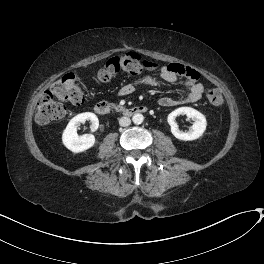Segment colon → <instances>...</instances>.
<instances>
[{
  "label": "colon",
  "mask_w": 264,
  "mask_h": 264,
  "mask_svg": "<svg viewBox=\"0 0 264 264\" xmlns=\"http://www.w3.org/2000/svg\"><path fill=\"white\" fill-rule=\"evenodd\" d=\"M143 68L144 63L141 57L128 53L108 60L98 72L97 78L100 81H108L119 73H138ZM206 98L214 107L218 108L223 104V96L218 88L208 87L206 89ZM60 100L74 105L84 101L82 85L72 73L63 76L55 82L51 91H46L40 95L37 102L36 121L44 125L65 117L67 108Z\"/></svg>",
  "instance_id": "obj_1"
}]
</instances>
